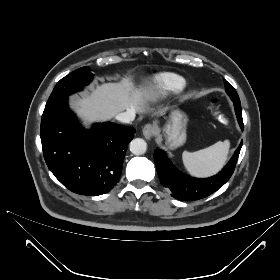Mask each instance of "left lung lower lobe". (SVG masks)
I'll list each match as a JSON object with an SVG mask.
<instances>
[{
    "mask_svg": "<svg viewBox=\"0 0 280 280\" xmlns=\"http://www.w3.org/2000/svg\"><path fill=\"white\" fill-rule=\"evenodd\" d=\"M237 119L243 130L241 103L233 101ZM243 141L236 149L228 164L215 176L205 179L191 178L180 171L167 159L162 150H155L154 161L161 184L172 191L171 196L181 201H193L205 198L221 188L232 176Z\"/></svg>",
    "mask_w": 280,
    "mask_h": 280,
    "instance_id": "obj_1",
    "label": "left lung lower lobe"
}]
</instances>
